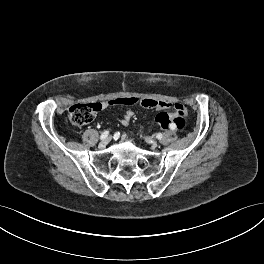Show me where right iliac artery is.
<instances>
[{
	"label": "right iliac artery",
	"instance_id": "right-iliac-artery-1",
	"mask_svg": "<svg viewBox=\"0 0 264 264\" xmlns=\"http://www.w3.org/2000/svg\"><path fill=\"white\" fill-rule=\"evenodd\" d=\"M108 134H109V131H107V130L104 131V132L101 134L100 139H101V140H104L105 138H107Z\"/></svg>",
	"mask_w": 264,
	"mask_h": 264
}]
</instances>
